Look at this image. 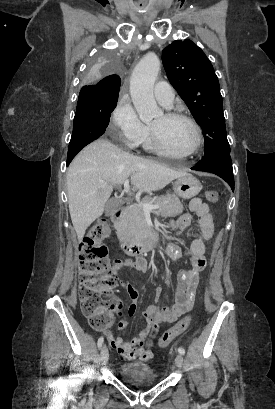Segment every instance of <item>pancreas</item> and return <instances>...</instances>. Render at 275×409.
<instances>
[{
  "instance_id": "cf45deb5",
  "label": "pancreas",
  "mask_w": 275,
  "mask_h": 409,
  "mask_svg": "<svg viewBox=\"0 0 275 409\" xmlns=\"http://www.w3.org/2000/svg\"><path fill=\"white\" fill-rule=\"evenodd\" d=\"M144 202L151 205H160L159 211L162 217H176L183 213V205L176 194H165V196H145L139 205L126 207L125 213L120 217L118 223H114L116 235L128 245H140L152 229L145 221L143 209Z\"/></svg>"
}]
</instances>
